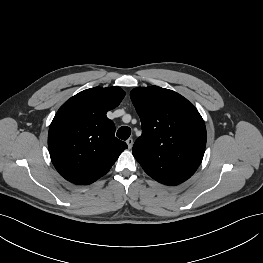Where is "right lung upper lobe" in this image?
I'll return each instance as SVG.
<instances>
[{
  "label": "right lung upper lobe",
  "instance_id": "1",
  "mask_svg": "<svg viewBox=\"0 0 263 263\" xmlns=\"http://www.w3.org/2000/svg\"><path fill=\"white\" fill-rule=\"evenodd\" d=\"M125 96L119 87H94L67 100L56 113L48 133L51 160L66 180L80 185L105 175L127 144L115 137L106 113Z\"/></svg>",
  "mask_w": 263,
  "mask_h": 263
}]
</instances>
